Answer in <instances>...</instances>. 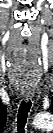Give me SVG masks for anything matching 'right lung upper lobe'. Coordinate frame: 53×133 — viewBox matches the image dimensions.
<instances>
[{"label":"right lung upper lobe","instance_id":"cb5924a9","mask_svg":"<svg viewBox=\"0 0 53 133\" xmlns=\"http://www.w3.org/2000/svg\"><path fill=\"white\" fill-rule=\"evenodd\" d=\"M6 112H7L6 106H4L1 103L0 104V121H1L2 126H4L6 122Z\"/></svg>","mask_w":53,"mask_h":133}]
</instances>
